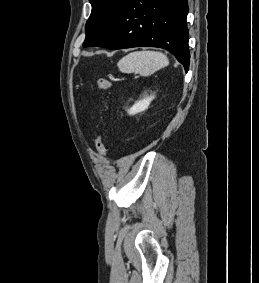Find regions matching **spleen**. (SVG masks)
Here are the masks:
<instances>
[{
	"label": "spleen",
	"mask_w": 259,
	"mask_h": 283,
	"mask_svg": "<svg viewBox=\"0 0 259 283\" xmlns=\"http://www.w3.org/2000/svg\"><path fill=\"white\" fill-rule=\"evenodd\" d=\"M168 58L158 51H135L119 60L118 68L124 73L137 72L149 76L168 65Z\"/></svg>",
	"instance_id": "3e777b00"
}]
</instances>
